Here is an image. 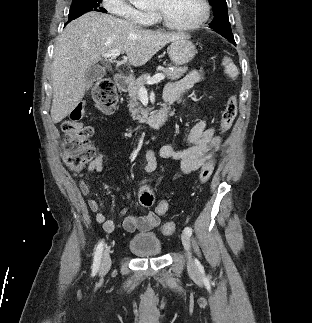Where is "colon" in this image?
Here are the masks:
<instances>
[{
    "label": "colon",
    "instance_id": "colon-1",
    "mask_svg": "<svg viewBox=\"0 0 312 323\" xmlns=\"http://www.w3.org/2000/svg\"><path fill=\"white\" fill-rule=\"evenodd\" d=\"M118 96L113 81L108 77L99 78L95 83V103L97 107L106 112L116 107ZM237 116V97L230 94L226 100V106L223 112L220 131L227 132L233 125ZM63 147L65 148V158L67 165L72 171H77L92 161L96 156V149L90 141L93 130L76 121L67 120L63 126ZM214 165L208 162L201 169L199 179L202 183L207 182L212 173ZM143 184L148 182L146 177L141 179ZM154 202L153 194L148 189L140 190L139 203L141 205H152ZM168 204L166 202H156L155 213H166ZM176 230L174 222L163 224L161 231L165 235L173 234Z\"/></svg>",
    "mask_w": 312,
    "mask_h": 323
}]
</instances>
